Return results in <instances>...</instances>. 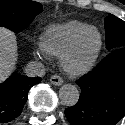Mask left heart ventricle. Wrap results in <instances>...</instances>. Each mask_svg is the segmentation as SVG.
<instances>
[{"mask_svg": "<svg viewBox=\"0 0 125 125\" xmlns=\"http://www.w3.org/2000/svg\"><path fill=\"white\" fill-rule=\"evenodd\" d=\"M99 37L96 31L90 30L84 33L76 45L70 61L74 65L84 64L98 46Z\"/></svg>", "mask_w": 125, "mask_h": 125, "instance_id": "obj_1", "label": "left heart ventricle"}]
</instances>
